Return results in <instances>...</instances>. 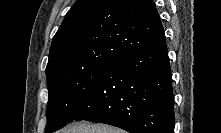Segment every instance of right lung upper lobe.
<instances>
[{
    "label": "right lung upper lobe",
    "mask_w": 221,
    "mask_h": 133,
    "mask_svg": "<svg viewBox=\"0 0 221 133\" xmlns=\"http://www.w3.org/2000/svg\"><path fill=\"white\" fill-rule=\"evenodd\" d=\"M165 41L153 0H77L53 37L46 75L112 64Z\"/></svg>",
    "instance_id": "right-lung-upper-lobe-1"
}]
</instances>
